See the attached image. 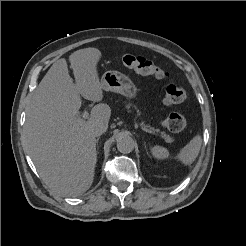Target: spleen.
Returning a JSON list of instances; mask_svg holds the SVG:
<instances>
[{
	"instance_id": "spleen-1",
	"label": "spleen",
	"mask_w": 246,
	"mask_h": 246,
	"mask_svg": "<svg viewBox=\"0 0 246 246\" xmlns=\"http://www.w3.org/2000/svg\"><path fill=\"white\" fill-rule=\"evenodd\" d=\"M202 145V138L199 134L182 148L178 155V159L185 165H191L199 154ZM154 158L163 160L169 157V151L163 146H154L151 149Z\"/></svg>"
}]
</instances>
